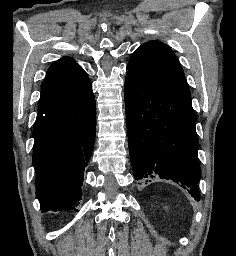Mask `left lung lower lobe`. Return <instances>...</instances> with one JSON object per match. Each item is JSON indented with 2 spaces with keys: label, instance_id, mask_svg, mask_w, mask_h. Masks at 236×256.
Instances as JSON below:
<instances>
[{
  "label": "left lung lower lobe",
  "instance_id": "0a47b994",
  "mask_svg": "<svg viewBox=\"0 0 236 256\" xmlns=\"http://www.w3.org/2000/svg\"><path fill=\"white\" fill-rule=\"evenodd\" d=\"M125 109L130 159L137 184L170 179L199 201L197 117L191 102L127 72Z\"/></svg>",
  "mask_w": 236,
  "mask_h": 256
}]
</instances>
